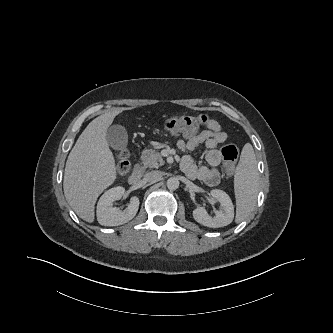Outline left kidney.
Listing matches in <instances>:
<instances>
[{"mask_svg":"<svg viewBox=\"0 0 333 333\" xmlns=\"http://www.w3.org/2000/svg\"><path fill=\"white\" fill-rule=\"evenodd\" d=\"M210 194L220 203L221 208L217 210L215 216L212 217L204 208L197 207L193 210L194 219L198 223L211 228H219L229 225L234 219V206L230 197L224 191L219 189L211 190Z\"/></svg>","mask_w":333,"mask_h":333,"instance_id":"1","label":"left kidney"}]
</instances>
